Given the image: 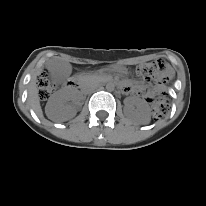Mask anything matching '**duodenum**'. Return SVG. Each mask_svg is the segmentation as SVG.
I'll return each mask as SVG.
<instances>
[{"instance_id": "duodenum-1", "label": "duodenum", "mask_w": 206, "mask_h": 206, "mask_svg": "<svg viewBox=\"0 0 206 206\" xmlns=\"http://www.w3.org/2000/svg\"><path fill=\"white\" fill-rule=\"evenodd\" d=\"M66 86L67 87H74V88H77L78 90H81L83 88V85L81 83H79L77 80H69L67 83H66Z\"/></svg>"}]
</instances>
